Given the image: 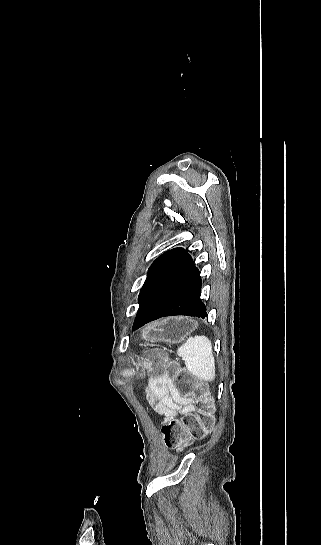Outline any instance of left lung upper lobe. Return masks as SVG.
I'll list each match as a JSON object with an SVG mask.
<instances>
[{"mask_svg":"<svg viewBox=\"0 0 321 545\" xmlns=\"http://www.w3.org/2000/svg\"><path fill=\"white\" fill-rule=\"evenodd\" d=\"M171 252V250L165 252L164 254L160 255L154 262L153 264L150 266L149 270H148V275H147V279L145 281V284L144 286L146 285V283L149 281V279L152 277V275L159 269V267L162 265V263L165 261V259L168 257L169 253ZM143 286V287H144ZM142 287V289H143ZM141 289V290H142ZM141 292V291H140Z\"/></svg>","mask_w":321,"mask_h":545,"instance_id":"obj_1","label":"left lung upper lobe"}]
</instances>
